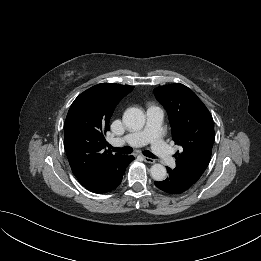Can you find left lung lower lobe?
Listing matches in <instances>:
<instances>
[{
  "label": "left lung lower lobe",
  "instance_id": "1",
  "mask_svg": "<svg viewBox=\"0 0 261 261\" xmlns=\"http://www.w3.org/2000/svg\"><path fill=\"white\" fill-rule=\"evenodd\" d=\"M169 176L164 181H155L154 184L162 191L169 194H179L190 189L194 183L181 175L176 170L167 167Z\"/></svg>",
  "mask_w": 261,
  "mask_h": 261
}]
</instances>
